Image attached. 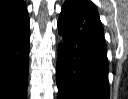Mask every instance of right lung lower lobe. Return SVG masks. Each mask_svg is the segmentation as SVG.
Returning a JSON list of instances; mask_svg holds the SVG:
<instances>
[{"mask_svg": "<svg viewBox=\"0 0 128 99\" xmlns=\"http://www.w3.org/2000/svg\"><path fill=\"white\" fill-rule=\"evenodd\" d=\"M29 24L26 4L0 20V99H27Z\"/></svg>", "mask_w": 128, "mask_h": 99, "instance_id": "98d812e1", "label": "right lung lower lobe"}]
</instances>
